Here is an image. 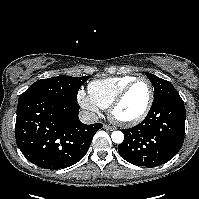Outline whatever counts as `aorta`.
I'll use <instances>...</instances> for the list:
<instances>
[{"instance_id":"762f6f07","label":"aorta","mask_w":199,"mask_h":199,"mask_svg":"<svg viewBox=\"0 0 199 199\" xmlns=\"http://www.w3.org/2000/svg\"><path fill=\"white\" fill-rule=\"evenodd\" d=\"M112 141L116 144H120L124 140V134L121 131H114L111 134Z\"/></svg>"}]
</instances>
